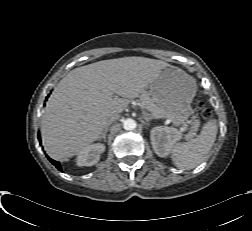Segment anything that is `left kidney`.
<instances>
[{
	"label": "left kidney",
	"mask_w": 252,
	"mask_h": 231,
	"mask_svg": "<svg viewBox=\"0 0 252 231\" xmlns=\"http://www.w3.org/2000/svg\"><path fill=\"white\" fill-rule=\"evenodd\" d=\"M152 147L160 157L169 155L174 143L181 139V133L175 128L156 126L150 133Z\"/></svg>",
	"instance_id": "obj_1"
}]
</instances>
